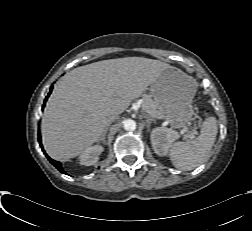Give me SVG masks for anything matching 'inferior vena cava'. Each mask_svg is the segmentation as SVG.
I'll return each instance as SVG.
<instances>
[{
	"label": "inferior vena cava",
	"instance_id": "inferior-vena-cava-1",
	"mask_svg": "<svg viewBox=\"0 0 252 231\" xmlns=\"http://www.w3.org/2000/svg\"><path fill=\"white\" fill-rule=\"evenodd\" d=\"M117 118H118V115H117V114H112V115L108 116L107 119H106V124H107V125L111 124V123L114 122Z\"/></svg>",
	"mask_w": 252,
	"mask_h": 231
}]
</instances>
